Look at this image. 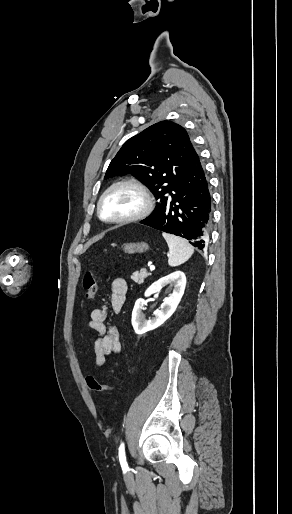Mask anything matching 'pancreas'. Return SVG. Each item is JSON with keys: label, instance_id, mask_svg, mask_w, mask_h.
I'll return each mask as SVG.
<instances>
[{"label": "pancreas", "instance_id": "pancreas-1", "mask_svg": "<svg viewBox=\"0 0 292 514\" xmlns=\"http://www.w3.org/2000/svg\"><path fill=\"white\" fill-rule=\"evenodd\" d=\"M148 276H151V274H148L147 270H145V268H142L140 272H134L131 278L132 280H134V282H136V284H143L145 278H148Z\"/></svg>", "mask_w": 292, "mask_h": 514}]
</instances>
